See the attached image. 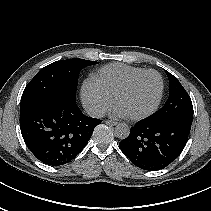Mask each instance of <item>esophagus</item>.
Wrapping results in <instances>:
<instances>
[{
  "mask_svg": "<svg viewBox=\"0 0 211 211\" xmlns=\"http://www.w3.org/2000/svg\"><path fill=\"white\" fill-rule=\"evenodd\" d=\"M105 123H106L107 125H110V126H115V125L118 124L117 122L112 121V120H106Z\"/></svg>",
  "mask_w": 211,
  "mask_h": 211,
  "instance_id": "obj_1",
  "label": "esophagus"
}]
</instances>
